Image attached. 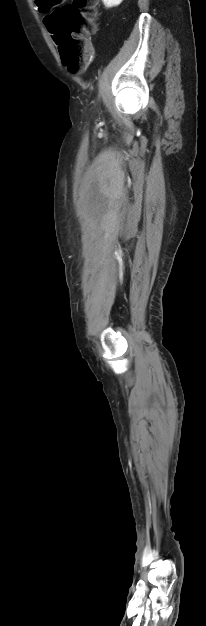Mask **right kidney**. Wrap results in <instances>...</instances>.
<instances>
[{"label": "right kidney", "mask_w": 206, "mask_h": 626, "mask_svg": "<svg viewBox=\"0 0 206 626\" xmlns=\"http://www.w3.org/2000/svg\"><path fill=\"white\" fill-rule=\"evenodd\" d=\"M106 8L118 6L123 0H102Z\"/></svg>", "instance_id": "ca27d5eb"}]
</instances>
